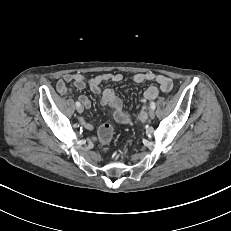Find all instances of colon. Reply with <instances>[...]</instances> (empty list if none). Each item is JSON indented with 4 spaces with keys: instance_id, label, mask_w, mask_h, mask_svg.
Masks as SVG:
<instances>
[{
    "instance_id": "obj_1",
    "label": "colon",
    "mask_w": 231,
    "mask_h": 231,
    "mask_svg": "<svg viewBox=\"0 0 231 231\" xmlns=\"http://www.w3.org/2000/svg\"><path fill=\"white\" fill-rule=\"evenodd\" d=\"M98 137H99L100 142L104 146H107L112 140L113 128L108 124L101 126L99 131H98Z\"/></svg>"
}]
</instances>
